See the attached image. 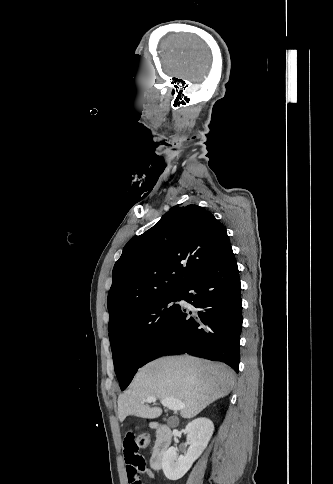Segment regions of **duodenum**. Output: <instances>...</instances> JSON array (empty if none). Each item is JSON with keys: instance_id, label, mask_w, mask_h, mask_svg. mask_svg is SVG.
<instances>
[{"instance_id": "duodenum-1", "label": "duodenum", "mask_w": 333, "mask_h": 484, "mask_svg": "<svg viewBox=\"0 0 333 484\" xmlns=\"http://www.w3.org/2000/svg\"><path fill=\"white\" fill-rule=\"evenodd\" d=\"M157 439L150 458L151 468L160 470L162 468L164 454L172 442L173 432L165 424H155Z\"/></svg>"}]
</instances>
